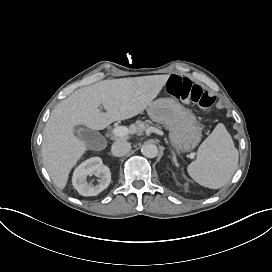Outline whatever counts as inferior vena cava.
<instances>
[{
  "mask_svg": "<svg viewBox=\"0 0 272 272\" xmlns=\"http://www.w3.org/2000/svg\"><path fill=\"white\" fill-rule=\"evenodd\" d=\"M130 150L131 144L124 140L115 141L111 147V152L116 157L125 156L126 154L129 153Z\"/></svg>",
  "mask_w": 272,
  "mask_h": 272,
  "instance_id": "obj_1",
  "label": "inferior vena cava"
}]
</instances>
